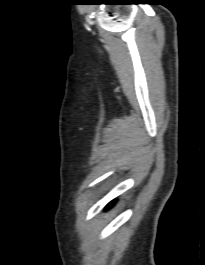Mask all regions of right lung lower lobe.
<instances>
[{
  "mask_svg": "<svg viewBox=\"0 0 205 265\" xmlns=\"http://www.w3.org/2000/svg\"><path fill=\"white\" fill-rule=\"evenodd\" d=\"M114 202H115V200L111 201V202L106 206V208L111 207V206L113 205Z\"/></svg>",
  "mask_w": 205,
  "mask_h": 265,
  "instance_id": "98d812e1",
  "label": "right lung lower lobe"
}]
</instances>
